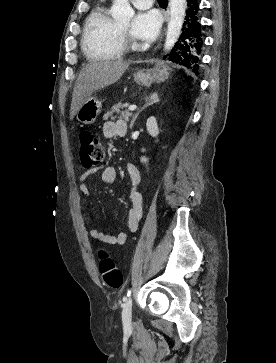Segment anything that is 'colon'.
Segmentation results:
<instances>
[{"mask_svg":"<svg viewBox=\"0 0 276 363\" xmlns=\"http://www.w3.org/2000/svg\"><path fill=\"white\" fill-rule=\"evenodd\" d=\"M104 148L98 137L89 132L83 131L80 134V158L86 167H96L103 162ZM99 271L110 288H120L123 284V275L117 268L109 254L101 250L99 253Z\"/></svg>","mask_w":276,"mask_h":363,"instance_id":"5ec220e1","label":"colon"}]
</instances>
